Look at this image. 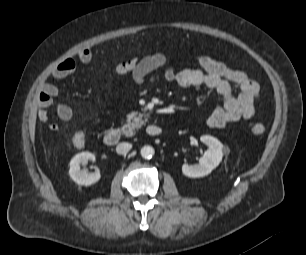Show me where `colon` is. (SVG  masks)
<instances>
[{
	"instance_id": "colon-1",
	"label": "colon",
	"mask_w": 306,
	"mask_h": 255,
	"mask_svg": "<svg viewBox=\"0 0 306 255\" xmlns=\"http://www.w3.org/2000/svg\"><path fill=\"white\" fill-rule=\"evenodd\" d=\"M137 62V59H128L121 61L116 70L118 73L127 74L133 69ZM251 132L254 136L259 137L262 136L265 132V127L262 124H255L251 128ZM86 142V134L83 131L76 132L72 137V143L75 147L81 148L84 146Z\"/></svg>"
}]
</instances>
